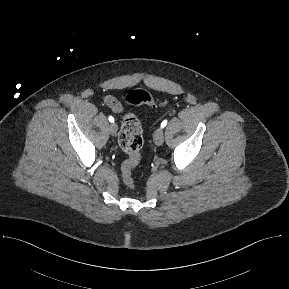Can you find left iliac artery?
Wrapping results in <instances>:
<instances>
[{
	"instance_id": "44dca946",
	"label": "left iliac artery",
	"mask_w": 289,
	"mask_h": 289,
	"mask_svg": "<svg viewBox=\"0 0 289 289\" xmlns=\"http://www.w3.org/2000/svg\"><path fill=\"white\" fill-rule=\"evenodd\" d=\"M167 125V119H165L162 123H161V128H164Z\"/></svg>"
}]
</instances>
